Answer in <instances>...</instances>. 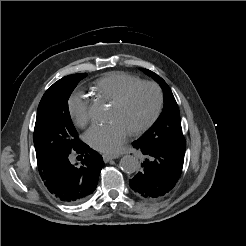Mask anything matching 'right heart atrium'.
<instances>
[{
	"mask_svg": "<svg viewBox=\"0 0 246 246\" xmlns=\"http://www.w3.org/2000/svg\"><path fill=\"white\" fill-rule=\"evenodd\" d=\"M68 111L73 122L79 126H85L89 119V99L82 91H75L68 100Z\"/></svg>",
	"mask_w": 246,
	"mask_h": 246,
	"instance_id": "1",
	"label": "right heart atrium"
}]
</instances>
